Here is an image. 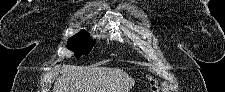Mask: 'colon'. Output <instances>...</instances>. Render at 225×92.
<instances>
[{
    "instance_id": "5ec220e1",
    "label": "colon",
    "mask_w": 225,
    "mask_h": 92,
    "mask_svg": "<svg viewBox=\"0 0 225 92\" xmlns=\"http://www.w3.org/2000/svg\"><path fill=\"white\" fill-rule=\"evenodd\" d=\"M152 85H153V90H152V91H154V92L159 91V90L157 89V87H156V85H155V83H154V82H152Z\"/></svg>"
}]
</instances>
